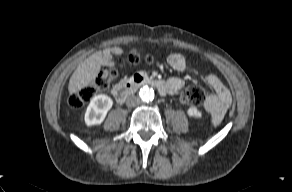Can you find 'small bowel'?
<instances>
[{"mask_svg":"<svg viewBox=\"0 0 292 192\" xmlns=\"http://www.w3.org/2000/svg\"><path fill=\"white\" fill-rule=\"evenodd\" d=\"M123 50L118 47L108 49L103 56L105 66H113V58L121 56ZM168 64L177 71H189L191 68L185 57L179 53H173L168 57ZM206 83L211 87L212 93L209 95L205 108L210 114L212 124H218L225 116L231 104V94L225 84L215 74L205 76ZM167 93H178L184 86L185 81L179 77H172L166 81Z\"/></svg>","mask_w":292,"mask_h":192,"instance_id":"obj_1","label":"small bowel"}]
</instances>
